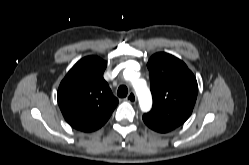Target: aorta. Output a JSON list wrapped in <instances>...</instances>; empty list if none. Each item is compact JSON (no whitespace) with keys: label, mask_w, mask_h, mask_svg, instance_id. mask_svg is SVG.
<instances>
[{"label":"aorta","mask_w":249,"mask_h":165,"mask_svg":"<svg viewBox=\"0 0 249 165\" xmlns=\"http://www.w3.org/2000/svg\"><path fill=\"white\" fill-rule=\"evenodd\" d=\"M133 87L138 96L141 110L143 112L149 111L152 106V97L148 87L146 86V82L144 80H134Z\"/></svg>","instance_id":"762f6f07"}]
</instances>
